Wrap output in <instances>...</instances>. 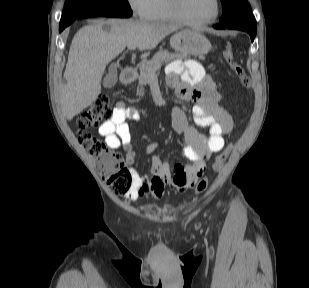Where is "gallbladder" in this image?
Here are the masks:
<instances>
[{
	"mask_svg": "<svg viewBox=\"0 0 309 288\" xmlns=\"http://www.w3.org/2000/svg\"><path fill=\"white\" fill-rule=\"evenodd\" d=\"M117 82V71L113 67L109 69L108 75L104 78L103 86L105 88H112Z\"/></svg>",
	"mask_w": 309,
	"mask_h": 288,
	"instance_id": "bac80fb5",
	"label": "gallbladder"
}]
</instances>
